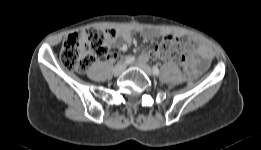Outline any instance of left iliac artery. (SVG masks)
I'll use <instances>...</instances> for the list:
<instances>
[{
  "label": "left iliac artery",
  "instance_id": "obj_1",
  "mask_svg": "<svg viewBox=\"0 0 261 150\" xmlns=\"http://www.w3.org/2000/svg\"><path fill=\"white\" fill-rule=\"evenodd\" d=\"M152 72H153V74L156 75V76L159 75V69H158V67H157V66H154L153 69H152Z\"/></svg>",
  "mask_w": 261,
  "mask_h": 150
}]
</instances>
